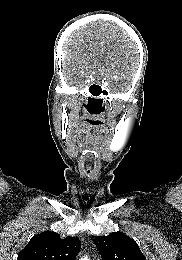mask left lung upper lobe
<instances>
[{
	"label": "left lung upper lobe",
	"mask_w": 182,
	"mask_h": 260,
	"mask_svg": "<svg viewBox=\"0 0 182 260\" xmlns=\"http://www.w3.org/2000/svg\"><path fill=\"white\" fill-rule=\"evenodd\" d=\"M102 260H146L138 244L122 232L95 238Z\"/></svg>",
	"instance_id": "1"
}]
</instances>
